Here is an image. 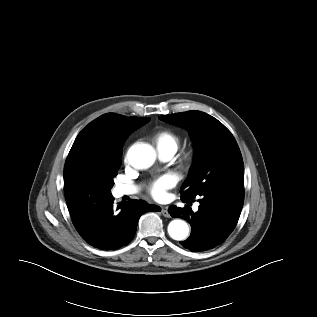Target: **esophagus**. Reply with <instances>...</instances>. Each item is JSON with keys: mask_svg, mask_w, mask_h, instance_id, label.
<instances>
[{"mask_svg": "<svg viewBox=\"0 0 317 317\" xmlns=\"http://www.w3.org/2000/svg\"><path fill=\"white\" fill-rule=\"evenodd\" d=\"M161 214H162L164 217H170V214L168 213L167 207H162V209H161Z\"/></svg>", "mask_w": 317, "mask_h": 317, "instance_id": "obj_1", "label": "esophagus"}]
</instances>
